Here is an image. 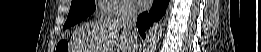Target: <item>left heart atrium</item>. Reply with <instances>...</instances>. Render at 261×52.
Instances as JSON below:
<instances>
[{
    "label": "left heart atrium",
    "mask_w": 261,
    "mask_h": 52,
    "mask_svg": "<svg viewBox=\"0 0 261 52\" xmlns=\"http://www.w3.org/2000/svg\"><path fill=\"white\" fill-rule=\"evenodd\" d=\"M137 3L141 8H147L150 5V2L147 0H138Z\"/></svg>",
    "instance_id": "obj_1"
}]
</instances>
